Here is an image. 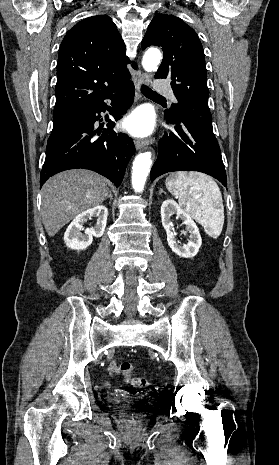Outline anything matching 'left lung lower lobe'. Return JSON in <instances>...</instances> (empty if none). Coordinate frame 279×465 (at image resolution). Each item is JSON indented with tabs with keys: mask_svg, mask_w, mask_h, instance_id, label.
Listing matches in <instances>:
<instances>
[{
	"mask_svg": "<svg viewBox=\"0 0 279 465\" xmlns=\"http://www.w3.org/2000/svg\"><path fill=\"white\" fill-rule=\"evenodd\" d=\"M168 121L175 125V132L165 133L159 141L151 181L167 172L193 170L215 177L226 187V172L213 131L188 118Z\"/></svg>",
	"mask_w": 279,
	"mask_h": 465,
	"instance_id": "left-lung-lower-lobe-1",
	"label": "left lung lower lobe"
}]
</instances>
